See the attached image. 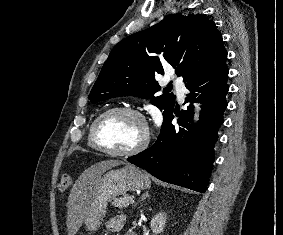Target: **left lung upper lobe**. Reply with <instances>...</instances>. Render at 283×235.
<instances>
[{
  "label": "left lung upper lobe",
  "instance_id": "5c2ea615",
  "mask_svg": "<svg viewBox=\"0 0 283 235\" xmlns=\"http://www.w3.org/2000/svg\"><path fill=\"white\" fill-rule=\"evenodd\" d=\"M226 59L222 35L214 22L202 14H171L112 49L88 99L92 103L119 96L151 99L164 110L165 121L174 109L175 96H155L161 90L155 74H164L163 65L169 63L186 83Z\"/></svg>",
  "mask_w": 283,
  "mask_h": 235
}]
</instances>
